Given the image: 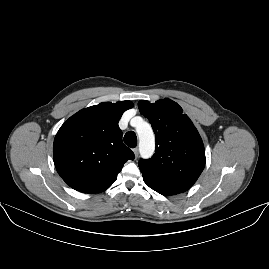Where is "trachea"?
<instances>
[{
	"label": "trachea",
	"mask_w": 269,
	"mask_h": 269,
	"mask_svg": "<svg viewBox=\"0 0 269 269\" xmlns=\"http://www.w3.org/2000/svg\"><path fill=\"white\" fill-rule=\"evenodd\" d=\"M124 142L131 148H135L137 146V136L135 132L130 131L127 132L124 136Z\"/></svg>",
	"instance_id": "trachea-1"
}]
</instances>
